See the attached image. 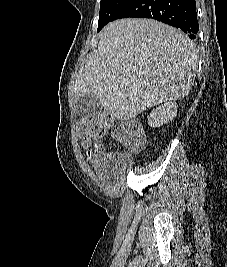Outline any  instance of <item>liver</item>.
Here are the masks:
<instances>
[{
	"mask_svg": "<svg viewBox=\"0 0 227 267\" xmlns=\"http://www.w3.org/2000/svg\"><path fill=\"white\" fill-rule=\"evenodd\" d=\"M196 49L179 29L152 19H121L99 34L98 49L81 67L76 99L93 93L118 120L187 96L196 76Z\"/></svg>",
	"mask_w": 227,
	"mask_h": 267,
	"instance_id": "liver-1",
	"label": "liver"
}]
</instances>
